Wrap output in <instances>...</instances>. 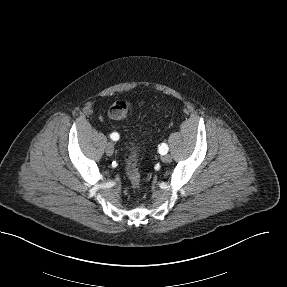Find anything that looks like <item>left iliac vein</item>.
Instances as JSON below:
<instances>
[{
  "label": "left iliac vein",
  "mask_w": 287,
  "mask_h": 287,
  "mask_svg": "<svg viewBox=\"0 0 287 287\" xmlns=\"http://www.w3.org/2000/svg\"><path fill=\"white\" fill-rule=\"evenodd\" d=\"M161 159H162L163 162L169 163V162H171L172 157L169 154H164V155H162Z\"/></svg>",
  "instance_id": "4c4485c4"
}]
</instances>
